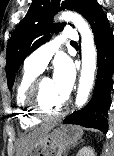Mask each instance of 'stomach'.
<instances>
[{
	"mask_svg": "<svg viewBox=\"0 0 114 156\" xmlns=\"http://www.w3.org/2000/svg\"><path fill=\"white\" fill-rule=\"evenodd\" d=\"M82 134L83 130L78 126L54 124L28 156H63L81 139Z\"/></svg>",
	"mask_w": 114,
	"mask_h": 156,
	"instance_id": "stomach-1",
	"label": "stomach"
}]
</instances>
